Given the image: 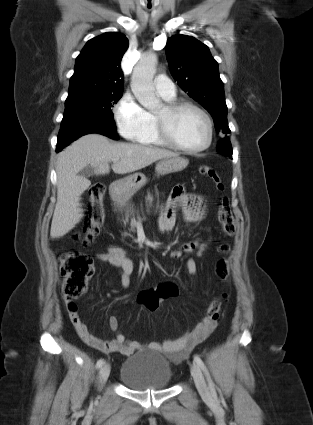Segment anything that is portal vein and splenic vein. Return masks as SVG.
<instances>
[{
    "label": "portal vein and splenic vein",
    "mask_w": 313,
    "mask_h": 425,
    "mask_svg": "<svg viewBox=\"0 0 313 425\" xmlns=\"http://www.w3.org/2000/svg\"><path fill=\"white\" fill-rule=\"evenodd\" d=\"M112 161H113V162H117L118 160H117V159H113Z\"/></svg>",
    "instance_id": "1"
}]
</instances>
